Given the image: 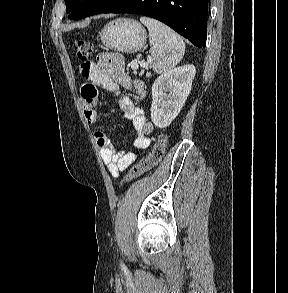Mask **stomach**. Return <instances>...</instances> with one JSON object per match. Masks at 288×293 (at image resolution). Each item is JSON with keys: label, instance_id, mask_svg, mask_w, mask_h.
Returning <instances> with one entry per match:
<instances>
[{"label": "stomach", "instance_id": "0dacf381", "mask_svg": "<svg viewBox=\"0 0 288 293\" xmlns=\"http://www.w3.org/2000/svg\"><path fill=\"white\" fill-rule=\"evenodd\" d=\"M99 35L107 48L123 53H135L141 50L147 41L145 28L138 21L127 18L109 22Z\"/></svg>", "mask_w": 288, "mask_h": 293}]
</instances>
